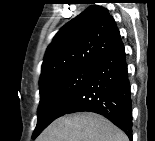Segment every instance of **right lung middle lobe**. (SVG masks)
<instances>
[{"label": "right lung middle lobe", "instance_id": "dd1d6c3e", "mask_svg": "<svg viewBox=\"0 0 155 141\" xmlns=\"http://www.w3.org/2000/svg\"><path fill=\"white\" fill-rule=\"evenodd\" d=\"M93 70L94 68H75L40 82L38 121L32 139L59 117L63 108L84 85Z\"/></svg>", "mask_w": 155, "mask_h": 141}]
</instances>
